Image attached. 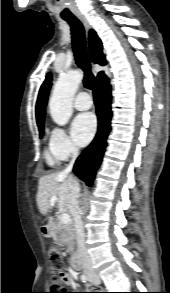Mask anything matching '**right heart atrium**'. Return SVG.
Listing matches in <instances>:
<instances>
[{
    "label": "right heart atrium",
    "instance_id": "d8ad5b80",
    "mask_svg": "<svg viewBox=\"0 0 170 293\" xmlns=\"http://www.w3.org/2000/svg\"><path fill=\"white\" fill-rule=\"evenodd\" d=\"M49 147L50 151L60 160H66L77 152V147L61 127L52 129Z\"/></svg>",
    "mask_w": 170,
    "mask_h": 293
}]
</instances>
